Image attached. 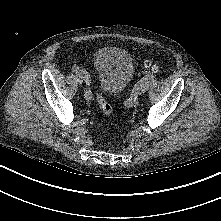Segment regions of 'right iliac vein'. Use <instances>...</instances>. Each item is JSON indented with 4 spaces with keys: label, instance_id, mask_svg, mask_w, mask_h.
Instances as JSON below:
<instances>
[{
    "label": "right iliac vein",
    "instance_id": "63e3f726",
    "mask_svg": "<svg viewBox=\"0 0 221 221\" xmlns=\"http://www.w3.org/2000/svg\"><path fill=\"white\" fill-rule=\"evenodd\" d=\"M76 78H77V82H78L79 84H82V83H83V79H82V77H81L80 75H78Z\"/></svg>",
    "mask_w": 221,
    "mask_h": 221
}]
</instances>
